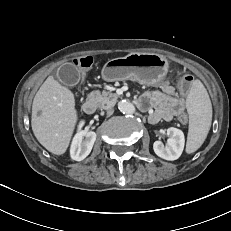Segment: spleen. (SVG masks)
Returning <instances> with one entry per match:
<instances>
[{
  "mask_svg": "<svg viewBox=\"0 0 231 231\" xmlns=\"http://www.w3.org/2000/svg\"><path fill=\"white\" fill-rule=\"evenodd\" d=\"M189 130L186 152L193 153L205 141L212 121V105L204 85L195 80L186 100Z\"/></svg>",
  "mask_w": 231,
  "mask_h": 231,
  "instance_id": "1",
  "label": "spleen"
}]
</instances>
